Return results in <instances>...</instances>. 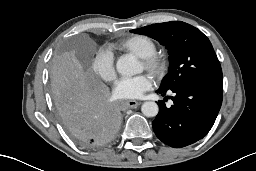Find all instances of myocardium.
<instances>
[{"instance_id": "f54148a6", "label": "myocardium", "mask_w": 256, "mask_h": 171, "mask_svg": "<svg viewBox=\"0 0 256 171\" xmlns=\"http://www.w3.org/2000/svg\"><path fill=\"white\" fill-rule=\"evenodd\" d=\"M144 69L154 78H161L167 70L166 57L158 52L140 58Z\"/></svg>"}]
</instances>
